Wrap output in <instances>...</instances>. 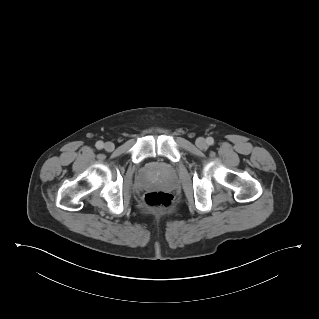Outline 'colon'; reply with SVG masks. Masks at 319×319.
I'll list each match as a JSON object with an SVG mask.
<instances>
[{
	"mask_svg": "<svg viewBox=\"0 0 319 319\" xmlns=\"http://www.w3.org/2000/svg\"><path fill=\"white\" fill-rule=\"evenodd\" d=\"M172 195L165 191H150L144 195V202L151 208H165L172 203Z\"/></svg>",
	"mask_w": 319,
	"mask_h": 319,
	"instance_id": "obj_1",
	"label": "colon"
}]
</instances>
